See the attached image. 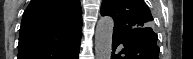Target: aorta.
Returning a JSON list of instances; mask_svg holds the SVG:
<instances>
[{"label": "aorta", "instance_id": "1", "mask_svg": "<svg viewBox=\"0 0 193 59\" xmlns=\"http://www.w3.org/2000/svg\"><path fill=\"white\" fill-rule=\"evenodd\" d=\"M113 19L101 17L95 32V56L97 59H110L112 54Z\"/></svg>", "mask_w": 193, "mask_h": 59}]
</instances>
